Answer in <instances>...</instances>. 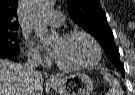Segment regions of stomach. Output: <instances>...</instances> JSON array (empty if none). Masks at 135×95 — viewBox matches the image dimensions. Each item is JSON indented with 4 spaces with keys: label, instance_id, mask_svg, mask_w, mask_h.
Wrapping results in <instances>:
<instances>
[{
    "label": "stomach",
    "instance_id": "obj_1",
    "mask_svg": "<svg viewBox=\"0 0 135 95\" xmlns=\"http://www.w3.org/2000/svg\"><path fill=\"white\" fill-rule=\"evenodd\" d=\"M51 87L59 95H91L94 85L89 76L84 73H74L59 78L51 83Z\"/></svg>",
    "mask_w": 135,
    "mask_h": 95
}]
</instances>
